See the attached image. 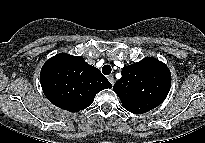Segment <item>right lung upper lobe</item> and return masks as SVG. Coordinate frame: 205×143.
<instances>
[{"mask_svg": "<svg viewBox=\"0 0 205 143\" xmlns=\"http://www.w3.org/2000/svg\"><path fill=\"white\" fill-rule=\"evenodd\" d=\"M45 96L55 106L78 112L92 104L96 94L112 84L81 56L60 53L45 62L40 73Z\"/></svg>", "mask_w": 205, "mask_h": 143, "instance_id": "1", "label": "right lung upper lobe"}]
</instances>
